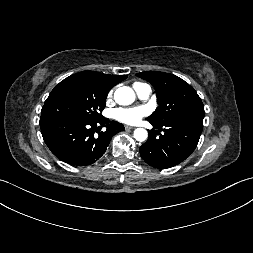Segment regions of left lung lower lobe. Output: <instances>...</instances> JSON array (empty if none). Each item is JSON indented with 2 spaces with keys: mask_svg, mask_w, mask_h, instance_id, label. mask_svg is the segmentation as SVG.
Returning <instances> with one entry per match:
<instances>
[{
  "mask_svg": "<svg viewBox=\"0 0 253 253\" xmlns=\"http://www.w3.org/2000/svg\"><path fill=\"white\" fill-rule=\"evenodd\" d=\"M204 115L195 114L187 118L164 124L150 122L154 128L149 131V138L140 147L143 160L158 169L173 167L184 161L196 148L203 130Z\"/></svg>",
  "mask_w": 253,
  "mask_h": 253,
  "instance_id": "left-lung-lower-lobe-1",
  "label": "left lung lower lobe"
}]
</instances>
